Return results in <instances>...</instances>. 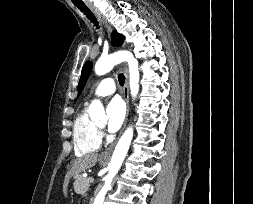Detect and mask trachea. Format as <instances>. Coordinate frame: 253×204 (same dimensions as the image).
Masks as SVG:
<instances>
[{
	"mask_svg": "<svg viewBox=\"0 0 253 204\" xmlns=\"http://www.w3.org/2000/svg\"><path fill=\"white\" fill-rule=\"evenodd\" d=\"M78 7V9L84 13V15H86V17L92 22L94 23L95 26L98 27V22L96 20V18L94 17V15L92 14V12L90 11V9L85 5V4H82V5H76ZM118 80H119V83L121 86L124 85V82H125V77L123 74H119L118 75Z\"/></svg>",
	"mask_w": 253,
	"mask_h": 204,
	"instance_id": "1",
	"label": "trachea"
}]
</instances>
